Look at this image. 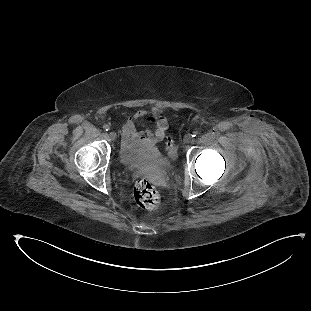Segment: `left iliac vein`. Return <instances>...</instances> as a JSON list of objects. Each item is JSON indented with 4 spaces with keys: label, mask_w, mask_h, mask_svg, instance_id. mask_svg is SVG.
<instances>
[{
    "label": "left iliac vein",
    "mask_w": 311,
    "mask_h": 311,
    "mask_svg": "<svg viewBox=\"0 0 311 311\" xmlns=\"http://www.w3.org/2000/svg\"><path fill=\"white\" fill-rule=\"evenodd\" d=\"M191 140H192V135L191 134H186L184 136V139H183L184 143L188 144V143L191 142Z\"/></svg>",
    "instance_id": "obj_1"
}]
</instances>
